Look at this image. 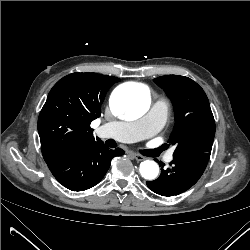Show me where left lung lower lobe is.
<instances>
[{"label": "left lung lower lobe", "instance_id": "left-lung-lower-lobe-1", "mask_svg": "<svg viewBox=\"0 0 250 250\" xmlns=\"http://www.w3.org/2000/svg\"><path fill=\"white\" fill-rule=\"evenodd\" d=\"M209 153H192L174 157L171 168L161 170L159 178L147 181L150 190L161 196L179 195L191 188L203 174ZM164 165L162 162H159Z\"/></svg>", "mask_w": 250, "mask_h": 250}]
</instances>
